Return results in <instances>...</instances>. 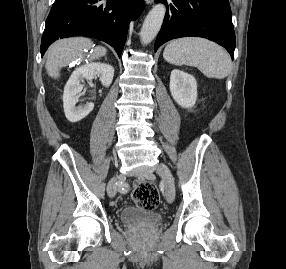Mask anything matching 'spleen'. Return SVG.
Returning <instances> with one entry per match:
<instances>
[{
	"mask_svg": "<svg viewBox=\"0 0 286 269\" xmlns=\"http://www.w3.org/2000/svg\"><path fill=\"white\" fill-rule=\"evenodd\" d=\"M163 58L174 65L197 67L208 78L222 79L232 70L229 54L216 43L203 38L175 39L165 47Z\"/></svg>",
	"mask_w": 286,
	"mask_h": 269,
	"instance_id": "obj_1",
	"label": "spleen"
}]
</instances>
